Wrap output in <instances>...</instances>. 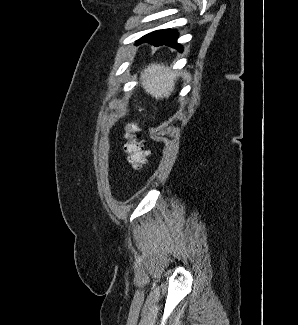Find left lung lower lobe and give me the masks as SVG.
I'll list each match as a JSON object with an SVG mask.
<instances>
[{"label":"left lung lower lobe","instance_id":"0a47b994","mask_svg":"<svg viewBox=\"0 0 298 325\" xmlns=\"http://www.w3.org/2000/svg\"><path fill=\"white\" fill-rule=\"evenodd\" d=\"M177 37H178V33L175 30L172 29L158 30L143 36L137 41V44L142 42H148L150 44H153L154 46H160L165 44L173 48H176L178 51L181 52L183 49L177 43L176 41Z\"/></svg>","mask_w":298,"mask_h":325}]
</instances>
